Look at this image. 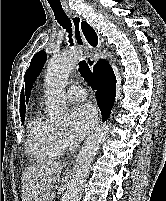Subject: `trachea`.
<instances>
[{"label":"trachea","instance_id":"1","mask_svg":"<svg viewBox=\"0 0 166 201\" xmlns=\"http://www.w3.org/2000/svg\"><path fill=\"white\" fill-rule=\"evenodd\" d=\"M51 8L54 12L55 19L57 20V22L66 30V32L69 33V43L70 46H73V39L71 38L72 23L70 21V18L67 16L62 7L51 6ZM79 71L81 76L91 86V88L96 90L99 84L90 69L88 68L85 60L79 62Z\"/></svg>","mask_w":166,"mask_h":201}]
</instances>
